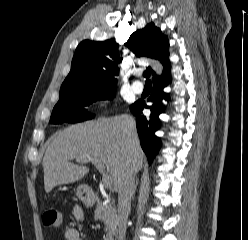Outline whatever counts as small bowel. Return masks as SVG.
Returning a JSON list of instances; mask_svg holds the SVG:
<instances>
[{
  "label": "small bowel",
  "mask_w": 248,
  "mask_h": 240,
  "mask_svg": "<svg viewBox=\"0 0 248 240\" xmlns=\"http://www.w3.org/2000/svg\"><path fill=\"white\" fill-rule=\"evenodd\" d=\"M74 216L78 220H82L84 218V214L82 209L79 206H75L73 209ZM65 240H82L79 231L75 228H67L64 232Z\"/></svg>",
  "instance_id": "1"
}]
</instances>
